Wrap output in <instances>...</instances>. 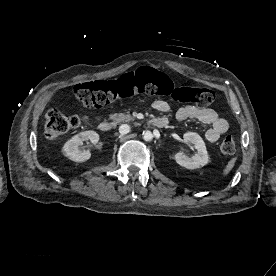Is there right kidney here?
I'll use <instances>...</instances> for the list:
<instances>
[{
  "mask_svg": "<svg viewBox=\"0 0 276 276\" xmlns=\"http://www.w3.org/2000/svg\"><path fill=\"white\" fill-rule=\"evenodd\" d=\"M90 140L93 144L99 141V135L95 131H84L69 139L63 146V154L72 161L85 162L91 157L89 150H80L79 146L84 141Z\"/></svg>",
  "mask_w": 276,
  "mask_h": 276,
  "instance_id": "1",
  "label": "right kidney"
}]
</instances>
